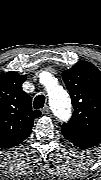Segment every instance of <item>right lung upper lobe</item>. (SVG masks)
I'll return each instance as SVG.
<instances>
[{
    "instance_id": "right-lung-upper-lobe-1",
    "label": "right lung upper lobe",
    "mask_w": 101,
    "mask_h": 180,
    "mask_svg": "<svg viewBox=\"0 0 101 180\" xmlns=\"http://www.w3.org/2000/svg\"><path fill=\"white\" fill-rule=\"evenodd\" d=\"M25 75L9 71L0 75V147L10 148L30 134L33 120L41 115L32 109L30 96L22 90Z\"/></svg>"
}]
</instances>
